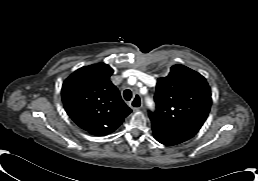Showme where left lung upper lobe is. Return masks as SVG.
<instances>
[{
  "instance_id": "5c2ea615",
  "label": "left lung upper lobe",
  "mask_w": 258,
  "mask_h": 181,
  "mask_svg": "<svg viewBox=\"0 0 258 181\" xmlns=\"http://www.w3.org/2000/svg\"><path fill=\"white\" fill-rule=\"evenodd\" d=\"M154 99L152 127L189 139L205 122L212 101L206 79L183 65L172 66L168 76L158 79Z\"/></svg>"
}]
</instances>
